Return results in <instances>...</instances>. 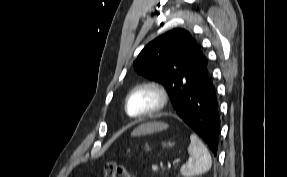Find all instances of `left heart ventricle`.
Here are the masks:
<instances>
[{
  "label": "left heart ventricle",
  "mask_w": 287,
  "mask_h": 177,
  "mask_svg": "<svg viewBox=\"0 0 287 177\" xmlns=\"http://www.w3.org/2000/svg\"><path fill=\"white\" fill-rule=\"evenodd\" d=\"M157 101L156 96L148 90H140L134 93L129 101V113L131 115L142 114L151 109Z\"/></svg>",
  "instance_id": "b2bd125f"
}]
</instances>
